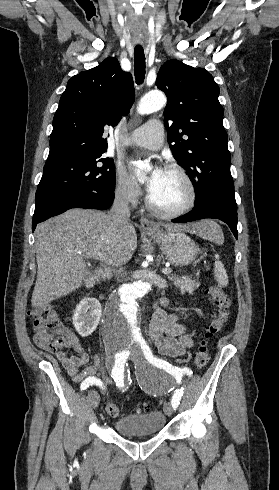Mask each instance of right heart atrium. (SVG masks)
Returning a JSON list of instances; mask_svg holds the SVG:
<instances>
[{
  "label": "right heart atrium",
  "mask_w": 279,
  "mask_h": 490,
  "mask_svg": "<svg viewBox=\"0 0 279 490\" xmlns=\"http://www.w3.org/2000/svg\"><path fill=\"white\" fill-rule=\"evenodd\" d=\"M114 194L119 201L131 205L136 204L140 197L139 189L120 168L114 174Z\"/></svg>",
  "instance_id": "1"
}]
</instances>
